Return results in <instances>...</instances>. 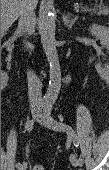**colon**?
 <instances>
[{"label": "colon", "instance_id": "obj_1", "mask_svg": "<svg viewBox=\"0 0 109 170\" xmlns=\"http://www.w3.org/2000/svg\"><path fill=\"white\" fill-rule=\"evenodd\" d=\"M32 170H45L43 166L36 165L32 168Z\"/></svg>", "mask_w": 109, "mask_h": 170}]
</instances>
